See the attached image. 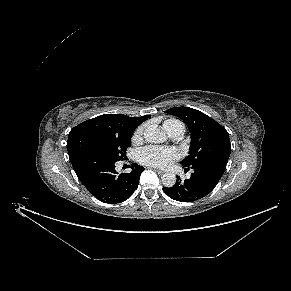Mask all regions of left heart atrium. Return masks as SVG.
I'll return each instance as SVG.
<instances>
[{
    "instance_id": "obj_1",
    "label": "left heart atrium",
    "mask_w": 291,
    "mask_h": 291,
    "mask_svg": "<svg viewBox=\"0 0 291 291\" xmlns=\"http://www.w3.org/2000/svg\"><path fill=\"white\" fill-rule=\"evenodd\" d=\"M177 157L175 150L157 146H148L141 149L138 153V160L142 164L154 167H166Z\"/></svg>"
}]
</instances>
